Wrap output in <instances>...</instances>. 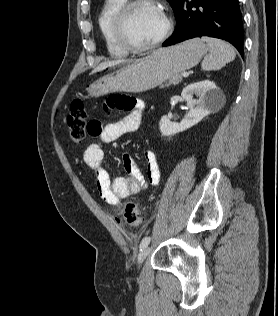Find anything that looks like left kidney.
<instances>
[{
	"mask_svg": "<svg viewBox=\"0 0 278 316\" xmlns=\"http://www.w3.org/2000/svg\"><path fill=\"white\" fill-rule=\"evenodd\" d=\"M193 94L199 99H193ZM181 97L186 101L189 112L180 123L171 122V118L164 115L159 122L163 136L177 134L199 123L219 106L222 92L213 81L204 80L185 87Z\"/></svg>",
	"mask_w": 278,
	"mask_h": 316,
	"instance_id": "5707ae66",
	"label": "left kidney"
}]
</instances>
